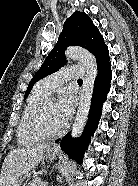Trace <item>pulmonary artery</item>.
I'll list each match as a JSON object with an SVG mask.
<instances>
[{
  "instance_id": "obj_1",
  "label": "pulmonary artery",
  "mask_w": 138,
  "mask_h": 186,
  "mask_svg": "<svg viewBox=\"0 0 138 186\" xmlns=\"http://www.w3.org/2000/svg\"><path fill=\"white\" fill-rule=\"evenodd\" d=\"M84 74L85 69L83 66H68L45 77L40 83L48 93H51L52 90L65 83L67 80L82 78Z\"/></svg>"
}]
</instances>
